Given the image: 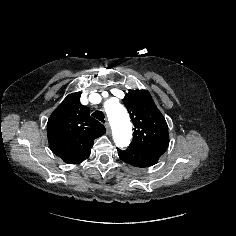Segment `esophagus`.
<instances>
[{
    "mask_svg": "<svg viewBox=\"0 0 236 236\" xmlns=\"http://www.w3.org/2000/svg\"><path fill=\"white\" fill-rule=\"evenodd\" d=\"M105 128L107 130V133L110 134V125L108 122L105 123Z\"/></svg>",
    "mask_w": 236,
    "mask_h": 236,
    "instance_id": "34e87169",
    "label": "esophagus"
}]
</instances>
